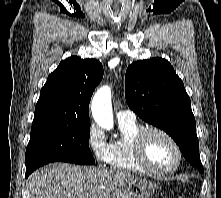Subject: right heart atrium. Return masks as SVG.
Segmentation results:
<instances>
[{
	"label": "right heart atrium",
	"mask_w": 221,
	"mask_h": 198,
	"mask_svg": "<svg viewBox=\"0 0 221 198\" xmlns=\"http://www.w3.org/2000/svg\"><path fill=\"white\" fill-rule=\"evenodd\" d=\"M87 144L98 163L108 162L110 144L107 142L103 131L95 124H91L88 129Z\"/></svg>",
	"instance_id": "1"
}]
</instances>
